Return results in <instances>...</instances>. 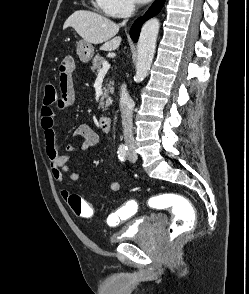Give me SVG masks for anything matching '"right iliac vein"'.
<instances>
[{"instance_id": "obj_1", "label": "right iliac vein", "mask_w": 249, "mask_h": 294, "mask_svg": "<svg viewBox=\"0 0 249 294\" xmlns=\"http://www.w3.org/2000/svg\"><path fill=\"white\" fill-rule=\"evenodd\" d=\"M130 156H131V158H134L135 157V155H134L133 152L130 153Z\"/></svg>"}]
</instances>
